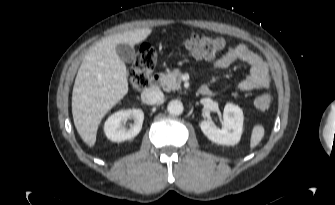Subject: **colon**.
<instances>
[{
  "mask_svg": "<svg viewBox=\"0 0 335 205\" xmlns=\"http://www.w3.org/2000/svg\"><path fill=\"white\" fill-rule=\"evenodd\" d=\"M223 38L193 35L185 41L186 49L193 57L201 60L215 58L224 48ZM156 65V53L149 45H142L133 61L129 75V82L133 89L146 88L151 79V74ZM272 104L269 92H263L255 98V105L260 110H267Z\"/></svg>",
  "mask_w": 335,
  "mask_h": 205,
  "instance_id": "obj_1",
  "label": "colon"
}]
</instances>
